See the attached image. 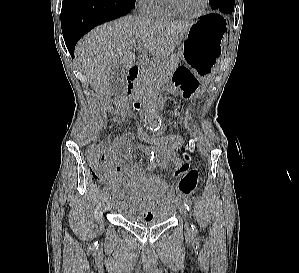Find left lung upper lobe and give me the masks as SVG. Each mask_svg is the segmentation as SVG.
<instances>
[{
    "label": "left lung upper lobe",
    "mask_w": 299,
    "mask_h": 273,
    "mask_svg": "<svg viewBox=\"0 0 299 273\" xmlns=\"http://www.w3.org/2000/svg\"><path fill=\"white\" fill-rule=\"evenodd\" d=\"M224 1H229L231 3H234V0H209V4L211 5L212 9L217 10L219 5Z\"/></svg>",
    "instance_id": "left-lung-upper-lobe-1"
}]
</instances>
